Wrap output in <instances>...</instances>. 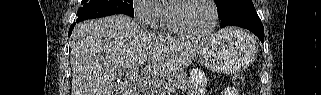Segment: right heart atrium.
I'll list each match as a JSON object with an SVG mask.
<instances>
[{"instance_id":"1","label":"right heart atrium","mask_w":321,"mask_h":95,"mask_svg":"<svg viewBox=\"0 0 321 95\" xmlns=\"http://www.w3.org/2000/svg\"><path fill=\"white\" fill-rule=\"evenodd\" d=\"M157 0H136L133 3V14L136 21L143 25H150L158 13Z\"/></svg>"}]
</instances>
